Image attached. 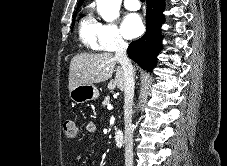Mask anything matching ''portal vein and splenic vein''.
Masks as SVG:
<instances>
[{
	"mask_svg": "<svg viewBox=\"0 0 227 166\" xmlns=\"http://www.w3.org/2000/svg\"><path fill=\"white\" fill-rule=\"evenodd\" d=\"M107 109H108V110H112V109H113V106H112L111 104H109V105L107 106Z\"/></svg>",
	"mask_w": 227,
	"mask_h": 166,
	"instance_id": "18ae733b",
	"label": "portal vein and splenic vein"
}]
</instances>
